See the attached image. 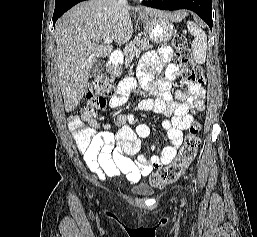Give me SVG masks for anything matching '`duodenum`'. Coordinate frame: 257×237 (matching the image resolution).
<instances>
[{
	"instance_id": "1",
	"label": "duodenum",
	"mask_w": 257,
	"mask_h": 237,
	"mask_svg": "<svg viewBox=\"0 0 257 237\" xmlns=\"http://www.w3.org/2000/svg\"><path fill=\"white\" fill-rule=\"evenodd\" d=\"M119 60V56L115 55V57L112 59V65H111V69H114L116 67V63Z\"/></svg>"
}]
</instances>
